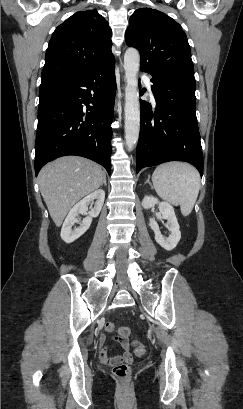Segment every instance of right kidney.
<instances>
[{"instance_id": "obj_1", "label": "right kidney", "mask_w": 243, "mask_h": 409, "mask_svg": "<svg viewBox=\"0 0 243 409\" xmlns=\"http://www.w3.org/2000/svg\"><path fill=\"white\" fill-rule=\"evenodd\" d=\"M105 199V192L102 189L96 190L89 194L78 202L69 212L66 217L62 229L61 238L66 243H72L80 236H82L90 227L92 219L97 217L102 209ZM94 204V207L89 211V216L83 219L80 226L76 229H72L74 223L77 222V217L79 214H86L88 211V206Z\"/></svg>"}]
</instances>
